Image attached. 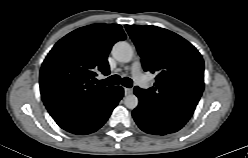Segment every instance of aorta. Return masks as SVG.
I'll use <instances>...</instances> for the list:
<instances>
[{
  "label": "aorta",
  "instance_id": "1",
  "mask_svg": "<svg viewBox=\"0 0 248 158\" xmlns=\"http://www.w3.org/2000/svg\"><path fill=\"white\" fill-rule=\"evenodd\" d=\"M113 57L122 63H128L133 58V48L125 41L117 42L112 48ZM139 100L136 95L130 94L124 98V105L128 109H135L138 106Z\"/></svg>",
  "mask_w": 248,
  "mask_h": 158
}]
</instances>
